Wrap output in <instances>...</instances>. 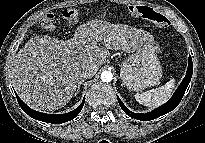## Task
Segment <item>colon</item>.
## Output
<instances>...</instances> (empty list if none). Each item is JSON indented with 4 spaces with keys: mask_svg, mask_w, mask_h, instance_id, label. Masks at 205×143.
I'll return each mask as SVG.
<instances>
[{
    "mask_svg": "<svg viewBox=\"0 0 205 143\" xmlns=\"http://www.w3.org/2000/svg\"><path fill=\"white\" fill-rule=\"evenodd\" d=\"M129 12L131 16L135 18H141L144 20H148L159 27H168L170 25V21L162 14L156 12L152 8L148 6H139L133 5L129 7ZM62 16L69 23H76L80 17V7L79 6H71L66 8L62 12ZM40 28L44 31L51 32L56 29V17L52 13L45 14L40 20Z\"/></svg>",
    "mask_w": 205,
    "mask_h": 143,
    "instance_id": "5ec220e1",
    "label": "colon"
}]
</instances>
